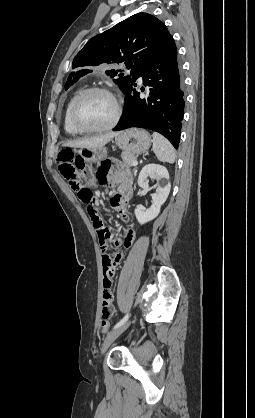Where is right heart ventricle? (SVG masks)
<instances>
[{"label":"right heart ventricle","mask_w":255,"mask_h":418,"mask_svg":"<svg viewBox=\"0 0 255 418\" xmlns=\"http://www.w3.org/2000/svg\"><path fill=\"white\" fill-rule=\"evenodd\" d=\"M81 91H83V89L79 88L73 93V95L68 100V102L66 104V107H65V110H64L63 125H64L65 131L70 135H77L78 133H80L79 131L74 129L73 126L71 125L70 120H69V114H70V110H71V107H72V104H73L75 98L79 95V93Z\"/></svg>","instance_id":"1"}]
</instances>
